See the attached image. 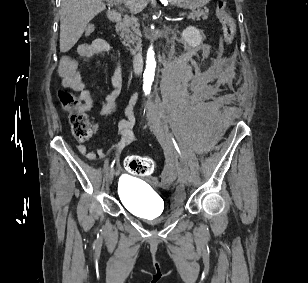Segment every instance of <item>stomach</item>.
<instances>
[{"label":"stomach","mask_w":308,"mask_h":283,"mask_svg":"<svg viewBox=\"0 0 308 283\" xmlns=\"http://www.w3.org/2000/svg\"><path fill=\"white\" fill-rule=\"evenodd\" d=\"M171 4L183 9H196L208 4L210 0H168Z\"/></svg>","instance_id":"obj_1"}]
</instances>
